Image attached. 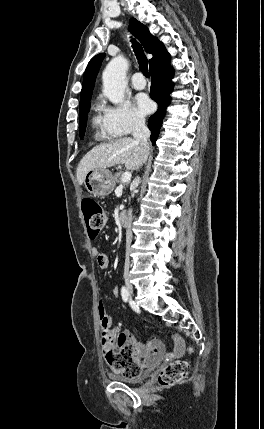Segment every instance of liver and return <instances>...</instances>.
<instances>
[{"label": "liver", "instance_id": "liver-1", "mask_svg": "<svg viewBox=\"0 0 264 429\" xmlns=\"http://www.w3.org/2000/svg\"><path fill=\"white\" fill-rule=\"evenodd\" d=\"M145 160L138 142L130 137L120 138L91 149L78 164L77 180L82 185L88 171L106 169L117 164H125L126 168L135 170Z\"/></svg>", "mask_w": 264, "mask_h": 429}]
</instances>
